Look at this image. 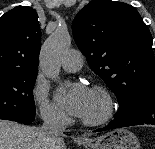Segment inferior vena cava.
I'll list each match as a JSON object with an SVG mask.
<instances>
[{
    "instance_id": "obj_1",
    "label": "inferior vena cava",
    "mask_w": 155,
    "mask_h": 149,
    "mask_svg": "<svg viewBox=\"0 0 155 149\" xmlns=\"http://www.w3.org/2000/svg\"><path fill=\"white\" fill-rule=\"evenodd\" d=\"M42 119L44 121L42 129L48 143L51 146L60 143L62 141L61 136L65 131V124L62 116L55 111H48L42 114Z\"/></svg>"
}]
</instances>
